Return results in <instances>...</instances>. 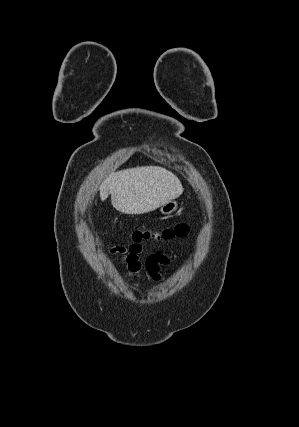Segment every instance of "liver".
Segmentation results:
<instances>
[{
    "label": "liver",
    "mask_w": 299,
    "mask_h": 427,
    "mask_svg": "<svg viewBox=\"0 0 299 427\" xmlns=\"http://www.w3.org/2000/svg\"><path fill=\"white\" fill-rule=\"evenodd\" d=\"M100 198L111 195L113 207L125 214H144L183 193L180 180L158 166H142L113 172L101 184Z\"/></svg>",
    "instance_id": "6515ba94"
}]
</instances>
